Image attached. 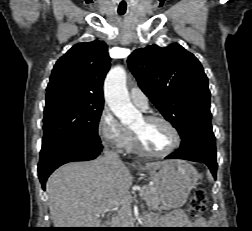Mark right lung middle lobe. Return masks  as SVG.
<instances>
[{
	"label": "right lung middle lobe",
	"instance_id": "right-lung-middle-lobe-1",
	"mask_svg": "<svg viewBox=\"0 0 252 231\" xmlns=\"http://www.w3.org/2000/svg\"><path fill=\"white\" fill-rule=\"evenodd\" d=\"M103 103L78 100L69 96L46 99L42 146L62 138L100 142L98 122Z\"/></svg>",
	"mask_w": 252,
	"mask_h": 231
}]
</instances>
